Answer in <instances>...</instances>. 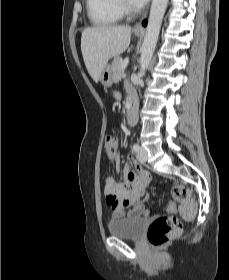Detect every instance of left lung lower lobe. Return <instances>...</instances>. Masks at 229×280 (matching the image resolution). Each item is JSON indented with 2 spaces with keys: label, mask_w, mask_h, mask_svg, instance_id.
Wrapping results in <instances>:
<instances>
[{
  "label": "left lung lower lobe",
  "mask_w": 229,
  "mask_h": 280,
  "mask_svg": "<svg viewBox=\"0 0 229 280\" xmlns=\"http://www.w3.org/2000/svg\"><path fill=\"white\" fill-rule=\"evenodd\" d=\"M142 24H143V26H146L147 25V20H144Z\"/></svg>",
  "instance_id": "1"
}]
</instances>
